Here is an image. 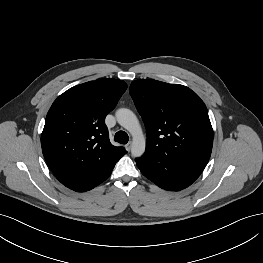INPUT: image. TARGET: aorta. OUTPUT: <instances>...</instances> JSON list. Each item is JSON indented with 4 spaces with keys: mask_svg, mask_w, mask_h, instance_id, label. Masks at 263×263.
I'll return each mask as SVG.
<instances>
[{
    "mask_svg": "<svg viewBox=\"0 0 263 263\" xmlns=\"http://www.w3.org/2000/svg\"><path fill=\"white\" fill-rule=\"evenodd\" d=\"M116 119L132 136V156L140 157L143 155L146 141L136 115L129 109L121 108L116 111Z\"/></svg>",
    "mask_w": 263,
    "mask_h": 263,
    "instance_id": "1",
    "label": "aorta"
}]
</instances>
